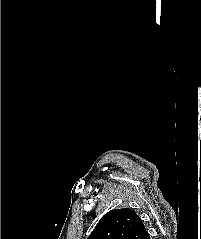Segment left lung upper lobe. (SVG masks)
I'll use <instances>...</instances> for the list:
<instances>
[{
    "label": "left lung upper lobe",
    "instance_id": "left-lung-upper-lobe-1",
    "mask_svg": "<svg viewBox=\"0 0 201 239\" xmlns=\"http://www.w3.org/2000/svg\"><path fill=\"white\" fill-rule=\"evenodd\" d=\"M87 239H149L140 217L131 209L107 212Z\"/></svg>",
    "mask_w": 201,
    "mask_h": 239
}]
</instances>
